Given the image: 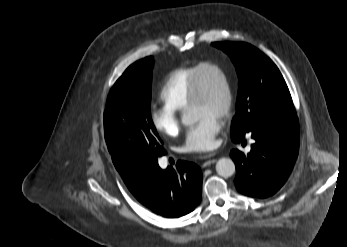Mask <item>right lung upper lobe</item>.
Returning <instances> with one entry per match:
<instances>
[{
  "mask_svg": "<svg viewBox=\"0 0 347 247\" xmlns=\"http://www.w3.org/2000/svg\"><path fill=\"white\" fill-rule=\"evenodd\" d=\"M136 169L137 168L131 167V168H128L127 170L123 171L122 173H120L123 180L125 182L129 181L132 178L133 174L136 172Z\"/></svg>",
  "mask_w": 347,
  "mask_h": 247,
  "instance_id": "obj_1",
  "label": "right lung upper lobe"
}]
</instances>
